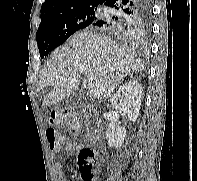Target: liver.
Returning <instances> with one entry per match:
<instances>
[{"mask_svg":"<svg viewBox=\"0 0 197 181\" xmlns=\"http://www.w3.org/2000/svg\"><path fill=\"white\" fill-rule=\"evenodd\" d=\"M143 69L142 61L128 47L97 33H77L44 65L38 87L53 89L44 96L43 106L68 98L78 89L83 74H94L90 95L102 99L111 96L122 78Z\"/></svg>","mask_w":197,"mask_h":181,"instance_id":"1","label":"liver"}]
</instances>
